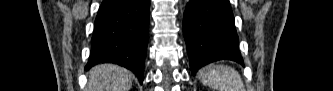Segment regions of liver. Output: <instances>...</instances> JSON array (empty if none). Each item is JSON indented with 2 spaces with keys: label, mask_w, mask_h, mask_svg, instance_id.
<instances>
[{
  "label": "liver",
  "mask_w": 333,
  "mask_h": 91,
  "mask_svg": "<svg viewBox=\"0 0 333 91\" xmlns=\"http://www.w3.org/2000/svg\"><path fill=\"white\" fill-rule=\"evenodd\" d=\"M87 91H129L132 76L124 68L113 64H101L88 73Z\"/></svg>",
  "instance_id": "obj_1"
}]
</instances>
